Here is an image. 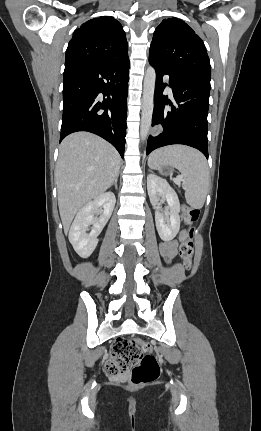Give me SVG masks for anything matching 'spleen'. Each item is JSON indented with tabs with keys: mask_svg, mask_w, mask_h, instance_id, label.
I'll use <instances>...</instances> for the list:
<instances>
[{
	"mask_svg": "<svg viewBox=\"0 0 261 431\" xmlns=\"http://www.w3.org/2000/svg\"><path fill=\"white\" fill-rule=\"evenodd\" d=\"M148 165L152 169L162 165L177 168L183 177L186 202L192 208L203 207L209 186V170L205 157L199 151L180 145L164 147L150 155Z\"/></svg>",
	"mask_w": 261,
	"mask_h": 431,
	"instance_id": "obj_1",
	"label": "spleen"
}]
</instances>
